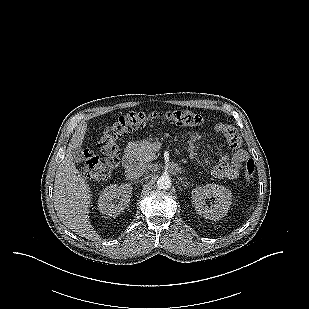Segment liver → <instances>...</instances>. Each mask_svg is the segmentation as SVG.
Listing matches in <instances>:
<instances>
[{
  "mask_svg": "<svg viewBox=\"0 0 309 309\" xmlns=\"http://www.w3.org/2000/svg\"><path fill=\"white\" fill-rule=\"evenodd\" d=\"M87 129L81 123L69 142L65 158L59 164L54 182V207L60 221L69 229L88 240H99L89 220L91 202L90 188L86 179L76 168L72 149L80 148Z\"/></svg>",
  "mask_w": 309,
  "mask_h": 309,
  "instance_id": "6515ba94",
  "label": "liver"
}]
</instances>
